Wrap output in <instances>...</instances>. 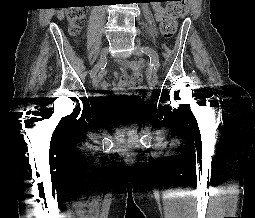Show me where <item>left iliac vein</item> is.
Wrapping results in <instances>:
<instances>
[{
	"label": "left iliac vein",
	"instance_id": "1",
	"mask_svg": "<svg viewBox=\"0 0 255 218\" xmlns=\"http://www.w3.org/2000/svg\"><path fill=\"white\" fill-rule=\"evenodd\" d=\"M134 54L137 55V56H142L143 55L142 48L140 46H137L135 51H134ZM148 83H149L150 87H155L157 85L158 76H157V73L155 71H153L151 73V75L149 76Z\"/></svg>",
	"mask_w": 255,
	"mask_h": 218
}]
</instances>
